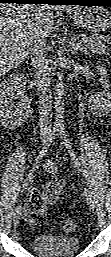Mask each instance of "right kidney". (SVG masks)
<instances>
[{
  "label": "right kidney",
  "mask_w": 111,
  "mask_h": 257,
  "mask_svg": "<svg viewBox=\"0 0 111 257\" xmlns=\"http://www.w3.org/2000/svg\"><path fill=\"white\" fill-rule=\"evenodd\" d=\"M26 78L22 73L8 75L0 84V116L2 122H11L22 109L29 108V99L25 95ZM18 101H15V100Z\"/></svg>",
  "instance_id": "ca27d5eb"
}]
</instances>
